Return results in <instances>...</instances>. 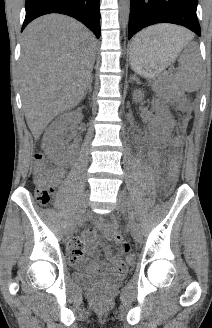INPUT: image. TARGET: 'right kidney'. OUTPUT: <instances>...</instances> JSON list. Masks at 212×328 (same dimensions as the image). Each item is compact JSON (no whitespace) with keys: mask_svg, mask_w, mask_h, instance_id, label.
Returning a JSON list of instances; mask_svg holds the SVG:
<instances>
[{"mask_svg":"<svg viewBox=\"0 0 212 328\" xmlns=\"http://www.w3.org/2000/svg\"><path fill=\"white\" fill-rule=\"evenodd\" d=\"M81 119H82L81 112L73 111L61 115L58 119H56L51 124L44 138L50 153H52L57 148V146L62 142L61 134L64 125H66L67 123H73V124L79 123Z\"/></svg>","mask_w":212,"mask_h":328,"instance_id":"obj_1","label":"right kidney"}]
</instances>
